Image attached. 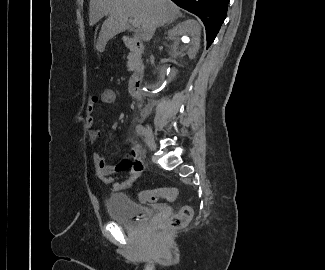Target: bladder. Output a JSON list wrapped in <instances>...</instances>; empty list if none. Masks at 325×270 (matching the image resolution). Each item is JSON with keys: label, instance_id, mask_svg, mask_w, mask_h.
<instances>
[{"label": "bladder", "instance_id": "31cf9c89", "mask_svg": "<svg viewBox=\"0 0 325 270\" xmlns=\"http://www.w3.org/2000/svg\"><path fill=\"white\" fill-rule=\"evenodd\" d=\"M106 210L110 219L126 227L135 228L151 214V211L133 201L124 193L112 194L107 198Z\"/></svg>", "mask_w": 325, "mask_h": 270}]
</instances>
